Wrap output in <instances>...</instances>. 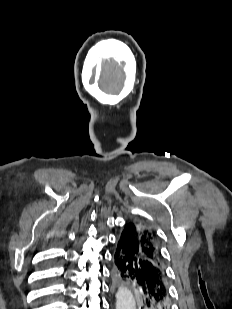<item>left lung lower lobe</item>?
I'll return each mask as SVG.
<instances>
[{"label": "left lung lower lobe", "instance_id": "0a47b994", "mask_svg": "<svg viewBox=\"0 0 232 309\" xmlns=\"http://www.w3.org/2000/svg\"><path fill=\"white\" fill-rule=\"evenodd\" d=\"M113 275L117 281L133 286L139 309H170L171 300L165 270L142 253L128 223L115 245Z\"/></svg>", "mask_w": 232, "mask_h": 309}]
</instances>
